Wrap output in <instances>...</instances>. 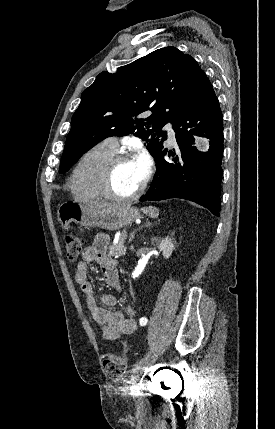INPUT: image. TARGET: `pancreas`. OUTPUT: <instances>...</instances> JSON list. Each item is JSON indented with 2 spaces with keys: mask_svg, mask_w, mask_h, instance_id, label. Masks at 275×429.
<instances>
[{
  "mask_svg": "<svg viewBox=\"0 0 275 429\" xmlns=\"http://www.w3.org/2000/svg\"><path fill=\"white\" fill-rule=\"evenodd\" d=\"M126 253V247L124 246V237L121 236L116 244L109 247V256H124Z\"/></svg>",
  "mask_w": 275,
  "mask_h": 429,
  "instance_id": "pancreas-1",
  "label": "pancreas"
}]
</instances>
